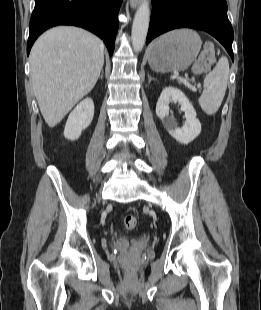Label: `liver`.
I'll use <instances>...</instances> for the list:
<instances>
[{"mask_svg": "<svg viewBox=\"0 0 261 310\" xmlns=\"http://www.w3.org/2000/svg\"><path fill=\"white\" fill-rule=\"evenodd\" d=\"M29 61L34 95L52 128L95 86L104 64V44L84 29L59 26L36 40Z\"/></svg>", "mask_w": 261, "mask_h": 310, "instance_id": "liver-1", "label": "liver"}]
</instances>
